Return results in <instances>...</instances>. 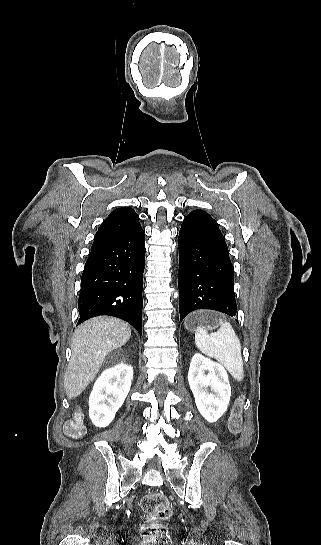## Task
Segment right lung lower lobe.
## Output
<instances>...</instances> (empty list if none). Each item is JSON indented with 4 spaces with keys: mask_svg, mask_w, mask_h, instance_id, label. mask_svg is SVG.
Here are the masks:
<instances>
[{
    "mask_svg": "<svg viewBox=\"0 0 321 545\" xmlns=\"http://www.w3.org/2000/svg\"><path fill=\"white\" fill-rule=\"evenodd\" d=\"M144 238L139 224L93 243L81 279L78 324L110 315L127 321L142 334Z\"/></svg>",
    "mask_w": 321,
    "mask_h": 545,
    "instance_id": "right-lung-lower-lobe-1",
    "label": "right lung lower lobe"
}]
</instances>
